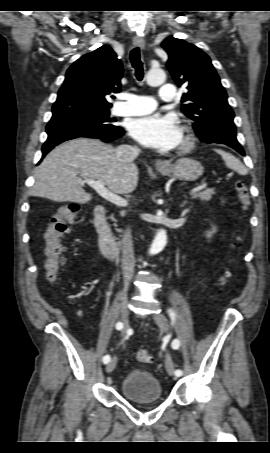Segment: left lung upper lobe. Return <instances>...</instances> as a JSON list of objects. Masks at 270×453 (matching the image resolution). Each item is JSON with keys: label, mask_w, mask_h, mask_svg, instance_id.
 I'll return each instance as SVG.
<instances>
[{"label": "left lung upper lobe", "mask_w": 270, "mask_h": 453, "mask_svg": "<svg viewBox=\"0 0 270 453\" xmlns=\"http://www.w3.org/2000/svg\"><path fill=\"white\" fill-rule=\"evenodd\" d=\"M162 47L169 55L167 68L178 86L187 85L182 111L194 121L193 129L207 143H238L234 112L207 54L182 39L168 37Z\"/></svg>", "instance_id": "left-lung-upper-lobe-1"}]
</instances>
